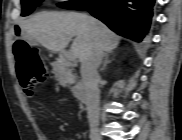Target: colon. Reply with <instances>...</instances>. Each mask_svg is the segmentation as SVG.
Here are the masks:
<instances>
[{"instance_id": "1", "label": "colon", "mask_w": 182, "mask_h": 140, "mask_svg": "<svg viewBox=\"0 0 182 140\" xmlns=\"http://www.w3.org/2000/svg\"><path fill=\"white\" fill-rule=\"evenodd\" d=\"M13 53L17 61V71L24 93L31 97L35 93L36 85L47 78V68L36 48H32L23 40L13 45Z\"/></svg>"}]
</instances>
